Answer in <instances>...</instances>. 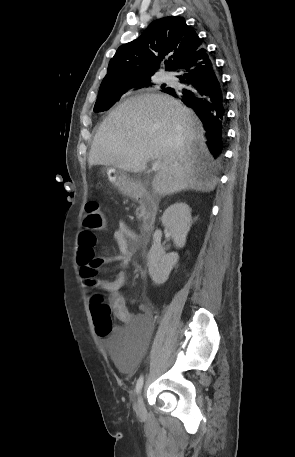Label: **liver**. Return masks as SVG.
Listing matches in <instances>:
<instances>
[{
	"label": "liver",
	"instance_id": "liver-1",
	"mask_svg": "<svg viewBox=\"0 0 295 457\" xmlns=\"http://www.w3.org/2000/svg\"><path fill=\"white\" fill-rule=\"evenodd\" d=\"M149 160L162 163L152 182L159 195L210 192L216 186L200 120L169 95L141 94L116 107L100 125L88 156L89 166L133 173L144 171Z\"/></svg>",
	"mask_w": 295,
	"mask_h": 457
}]
</instances>
